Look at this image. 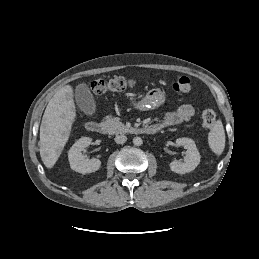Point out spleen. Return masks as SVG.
<instances>
[{
  "label": "spleen",
  "mask_w": 259,
  "mask_h": 259,
  "mask_svg": "<svg viewBox=\"0 0 259 259\" xmlns=\"http://www.w3.org/2000/svg\"><path fill=\"white\" fill-rule=\"evenodd\" d=\"M208 143L211 150L220 155L225 147V132L221 120H218L208 134Z\"/></svg>",
  "instance_id": "1"
}]
</instances>
